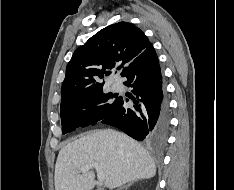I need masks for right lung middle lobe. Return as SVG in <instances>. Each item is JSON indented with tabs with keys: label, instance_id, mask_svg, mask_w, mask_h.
<instances>
[{
	"label": "right lung middle lobe",
	"instance_id": "dd1d6c3e",
	"mask_svg": "<svg viewBox=\"0 0 234 190\" xmlns=\"http://www.w3.org/2000/svg\"><path fill=\"white\" fill-rule=\"evenodd\" d=\"M117 98L112 93L104 94L101 88L61 103L62 133L74 131L80 126L94 125L105 119L116 107Z\"/></svg>",
	"mask_w": 234,
	"mask_h": 190
}]
</instances>
